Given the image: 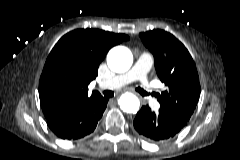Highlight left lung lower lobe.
<instances>
[{
	"label": "left lung lower lobe",
	"instance_id": "1",
	"mask_svg": "<svg viewBox=\"0 0 240 160\" xmlns=\"http://www.w3.org/2000/svg\"><path fill=\"white\" fill-rule=\"evenodd\" d=\"M187 122L162 108L155 113L146 105L137 113L133 124L144 139L163 142L173 138Z\"/></svg>",
	"mask_w": 240,
	"mask_h": 160
}]
</instances>
